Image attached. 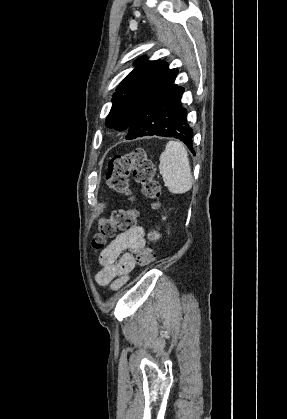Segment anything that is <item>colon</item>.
Wrapping results in <instances>:
<instances>
[{"instance_id": "colon-1", "label": "colon", "mask_w": 287, "mask_h": 419, "mask_svg": "<svg viewBox=\"0 0 287 419\" xmlns=\"http://www.w3.org/2000/svg\"><path fill=\"white\" fill-rule=\"evenodd\" d=\"M155 168L147 158L144 149L138 148L129 154L112 158L108 163L106 174L108 186L116 193L131 197L129 177L141 185L143 194L153 201V206H158L161 193L159 182L154 178ZM137 221L136 210H120L112 214L109 219H102L99 231L92 239V247L96 251L104 249L107 239L116 234L117 229L127 230L132 228ZM150 241L159 239V232L151 227L148 233ZM155 258V250L146 247L137 254V263L140 267L148 266Z\"/></svg>"}]
</instances>
